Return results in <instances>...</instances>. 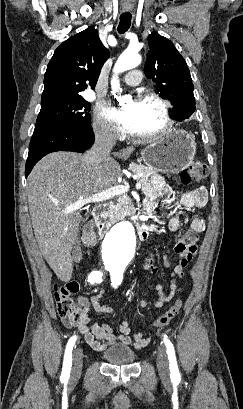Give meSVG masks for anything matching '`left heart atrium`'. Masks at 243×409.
I'll list each match as a JSON object with an SVG mask.
<instances>
[{
	"instance_id": "39dd6f15",
	"label": "left heart atrium",
	"mask_w": 243,
	"mask_h": 409,
	"mask_svg": "<svg viewBox=\"0 0 243 409\" xmlns=\"http://www.w3.org/2000/svg\"><path fill=\"white\" fill-rule=\"evenodd\" d=\"M108 116L117 123L122 131L131 132L133 124V113L131 110H116L111 109Z\"/></svg>"
}]
</instances>
